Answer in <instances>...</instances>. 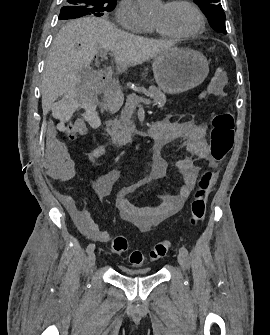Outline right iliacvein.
Returning <instances> with one entry per match:
<instances>
[{
  "instance_id": "obj_1",
  "label": "right iliac vein",
  "mask_w": 270,
  "mask_h": 335,
  "mask_svg": "<svg viewBox=\"0 0 270 335\" xmlns=\"http://www.w3.org/2000/svg\"><path fill=\"white\" fill-rule=\"evenodd\" d=\"M95 259H96L95 253H94V251H91L89 253V264H90V266L94 265Z\"/></svg>"
}]
</instances>
